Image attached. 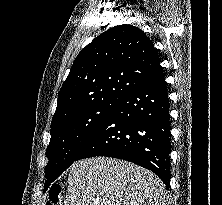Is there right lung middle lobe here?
Listing matches in <instances>:
<instances>
[{"mask_svg": "<svg viewBox=\"0 0 222 205\" xmlns=\"http://www.w3.org/2000/svg\"><path fill=\"white\" fill-rule=\"evenodd\" d=\"M120 101H107L88 106L51 124V139L46 150L45 168L48 187L74 161L102 126Z\"/></svg>", "mask_w": 222, "mask_h": 205, "instance_id": "obj_1", "label": "right lung middle lobe"}]
</instances>
